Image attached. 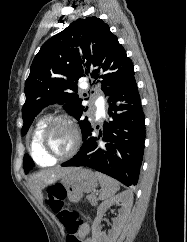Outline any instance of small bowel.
Instances as JSON below:
<instances>
[{
  "mask_svg": "<svg viewBox=\"0 0 187 242\" xmlns=\"http://www.w3.org/2000/svg\"><path fill=\"white\" fill-rule=\"evenodd\" d=\"M89 225L88 224H84L80 227L78 235L81 238H85L86 235L89 233ZM84 242H92L90 239H86Z\"/></svg>",
  "mask_w": 187,
  "mask_h": 242,
  "instance_id": "1",
  "label": "small bowel"
}]
</instances>
